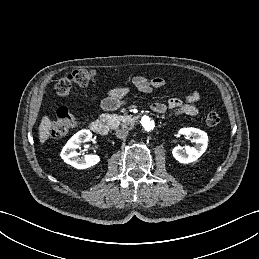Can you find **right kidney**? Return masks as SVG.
<instances>
[{
  "label": "right kidney",
  "instance_id": "obj_1",
  "mask_svg": "<svg viewBox=\"0 0 259 259\" xmlns=\"http://www.w3.org/2000/svg\"><path fill=\"white\" fill-rule=\"evenodd\" d=\"M92 138V133L90 130H80L74 134L68 142L65 144L61 151V158L67 164L77 168V169H86L91 166L96 165L100 161L98 155H84L83 157H78V153L75 151L80 148L82 142H87Z\"/></svg>",
  "mask_w": 259,
  "mask_h": 259
}]
</instances>
